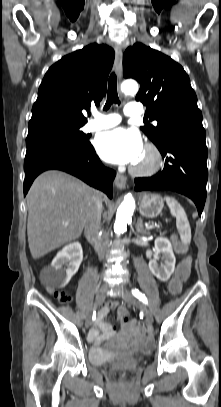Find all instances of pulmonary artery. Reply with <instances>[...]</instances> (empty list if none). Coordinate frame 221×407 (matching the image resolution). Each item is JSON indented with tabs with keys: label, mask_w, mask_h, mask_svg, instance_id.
I'll use <instances>...</instances> for the list:
<instances>
[{
	"label": "pulmonary artery",
	"mask_w": 221,
	"mask_h": 407,
	"mask_svg": "<svg viewBox=\"0 0 221 407\" xmlns=\"http://www.w3.org/2000/svg\"><path fill=\"white\" fill-rule=\"evenodd\" d=\"M143 113L141 107L136 103H129L124 108V114L129 117H136ZM94 118L90 120L86 126V131H98L108 129L118 125L121 122V116L116 113L102 114L98 111H93Z\"/></svg>",
	"instance_id": "1"
}]
</instances>
